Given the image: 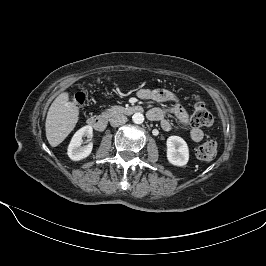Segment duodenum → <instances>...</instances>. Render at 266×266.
<instances>
[{"label": "duodenum", "instance_id": "1", "mask_svg": "<svg viewBox=\"0 0 266 266\" xmlns=\"http://www.w3.org/2000/svg\"><path fill=\"white\" fill-rule=\"evenodd\" d=\"M142 111H143V108L139 105H131V106H126V107L114 106L100 115L91 116L88 119V124L97 131H103L107 127L108 120L110 117L116 114H121V113L132 115L135 113H140Z\"/></svg>", "mask_w": 266, "mask_h": 266}]
</instances>
